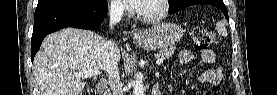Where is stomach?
Listing matches in <instances>:
<instances>
[{
  "label": "stomach",
  "mask_w": 277,
  "mask_h": 95,
  "mask_svg": "<svg viewBox=\"0 0 277 95\" xmlns=\"http://www.w3.org/2000/svg\"><path fill=\"white\" fill-rule=\"evenodd\" d=\"M184 35V30L173 23L158 24L144 31L141 38L135 42L144 49H162L175 45Z\"/></svg>",
  "instance_id": "0dacf381"
}]
</instances>
